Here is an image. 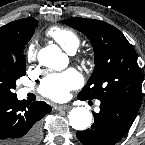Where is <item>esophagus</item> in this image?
I'll return each mask as SVG.
<instances>
[{"label": "esophagus", "mask_w": 145, "mask_h": 145, "mask_svg": "<svg viewBox=\"0 0 145 145\" xmlns=\"http://www.w3.org/2000/svg\"><path fill=\"white\" fill-rule=\"evenodd\" d=\"M58 111H62V110H68L70 108L69 105H57L55 107Z\"/></svg>", "instance_id": "obj_1"}]
</instances>
